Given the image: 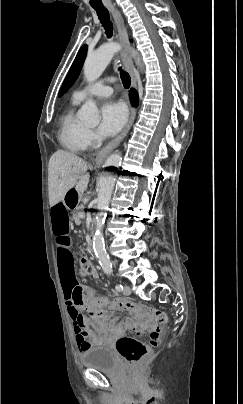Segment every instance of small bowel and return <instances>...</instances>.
<instances>
[{
  "instance_id": "c3829d8e",
  "label": "small bowel",
  "mask_w": 243,
  "mask_h": 404,
  "mask_svg": "<svg viewBox=\"0 0 243 404\" xmlns=\"http://www.w3.org/2000/svg\"><path fill=\"white\" fill-rule=\"evenodd\" d=\"M50 221L57 248V264L61 285L80 353L92 346L113 344L117 338L124 334V325L116 320L109 322L105 318H96L94 321L96 329H92L89 327L88 318L78 309L85 288L79 285L74 271L68 208L63 199L51 206ZM93 277H96L95 271Z\"/></svg>"
}]
</instances>
